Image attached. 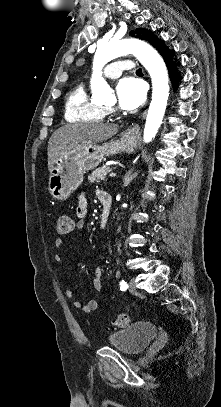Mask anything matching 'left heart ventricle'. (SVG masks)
<instances>
[{
  "mask_svg": "<svg viewBox=\"0 0 221 407\" xmlns=\"http://www.w3.org/2000/svg\"><path fill=\"white\" fill-rule=\"evenodd\" d=\"M112 105H113V103L109 104L108 106H112Z\"/></svg>",
  "mask_w": 221,
  "mask_h": 407,
  "instance_id": "left-heart-ventricle-1",
  "label": "left heart ventricle"
}]
</instances>
